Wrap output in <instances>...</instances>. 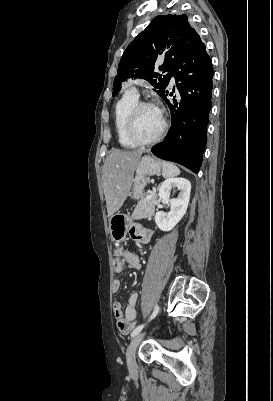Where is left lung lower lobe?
I'll return each mask as SVG.
<instances>
[{
    "mask_svg": "<svg viewBox=\"0 0 273 401\" xmlns=\"http://www.w3.org/2000/svg\"><path fill=\"white\" fill-rule=\"evenodd\" d=\"M172 75L177 83L178 102L174 97L171 104L167 91L161 96L170 108L172 125L164 141L151 151L198 173L207 142L213 88L212 62L201 39L174 63Z\"/></svg>",
    "mask_w": 273,
    "mask_h": 401,
    "instance_id": "1",
    "label": "left lung lower lobe"
}]
</instances>
